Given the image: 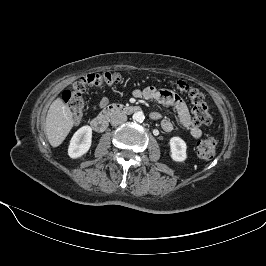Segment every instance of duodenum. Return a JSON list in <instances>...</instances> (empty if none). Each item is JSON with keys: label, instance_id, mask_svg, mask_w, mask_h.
<instances>
[{"label": "duodenum", "instance_id": "duodenum-1", "mask_svg": "<svg viewBox=\"0 0 266 266\" xmlns=\"http://www.w3.org/2000/svg\"><path fill=\"white\" fill-rule=\"evenodd\" d=\"M139 110L140 108L135 105L110 104L97 117L92 119L91 126L95 131L103 132L108 127L112 117L118 114H133Z\"/></svg>", "mask_w": 266, "mask_h": 266}]
</instances>
